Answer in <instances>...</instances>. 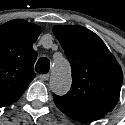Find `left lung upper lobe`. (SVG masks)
Wrapping results in <instances>:
<instances>
[{"label":"left lung upper lobe","instance_id":"1","mask_svg":"<svg viewBox=\"0 0 125 125\" xmlns=\"http://www.w3.org/2000/svg\"><path fill=\"white\" fill-rule=\"evenodd\" d=\"M53 33L72 68V86L64 96L53 95L56 106L74 120L100 118L119 100L123 73L101 38L78 25H58Z\"/></svg>","mask_w":125,"mask_h":125}]
</instances>
